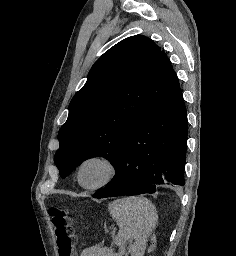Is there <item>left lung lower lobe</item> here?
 <instances>
[{
	"mask_svg": "<svg viewBox=\"0 0 236 256\" xmlns=\"http://www.w3.org/2000/svg\"><path fill=\"white\" fill-rule=\"evenodd\" d=\"M187 131V113L179 87L140 119L114 178L92 197L155 193L157 185L164 183L183 186Z\"/></svg>",
	"mask_w": 236,
	"mask_h": 256,
	"instance_id": "left-lung-lower-lobe-1",
	"label": "left lung lower lobe"
}]
</instances>
